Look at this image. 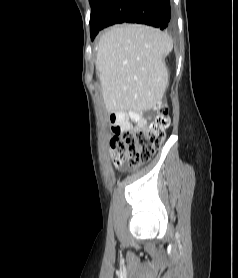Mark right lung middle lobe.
<instances>
[{
  "label": "right lung middle lobe",
  "mask_w": 238,
  "mask_h": 278,
  "mask_svg": "<svg viewBox=\"0 0 238 278\" xmlns=\"http://www.w3.org/2000/svg\"><path fill=\"white\" fill-rule=\"evenodd\" d=\"M90 1V5L91 7L93 6V4L96 2V0H89Z\"/></svg>",
  "instance_id": "1"
}]
</instances>
